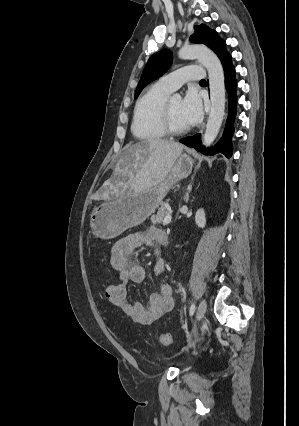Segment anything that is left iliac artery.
I'll use <instances>...</instances> for the list:
<instances>
[{
  "label": "left iliac artery",
  "instance_id": "left-iliac-artery-1",
  "mask_svg": "<svg viewBox=\"0 0 299 426\" xmlns=\"http://www.w3.org/2000/svg\"><path fill=\"white\" fill-rule=\"evenodd\" d=\"M194 311H195V304L192 303L191 307H190V311H189L190 316H192L194 314Z\"/></svg>",
  "mask_w": 299,
  "mask_h": 426
}]
</instances>
